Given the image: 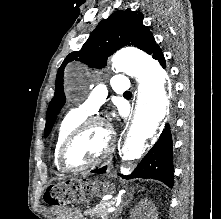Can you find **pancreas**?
<instances>
[{
  "mask_svg": "<svg viewBox=\"0 0 221 219\" xmlns=\"http://www.w3.org/2000/svg\"><path fill=\"white\" fill-rule=\"evenodd\" d=\"M113 205V202H102L98 204L96 207L86 210L85 214L91 216L93 219L101 218L108 219L110 217V212L108 209Z\"/></svg>",
  "mask_w": 221,
  "mask_h": 219,
  "instance_id": "obj_1",
  "label": "pancreas"
}]
</instances>
